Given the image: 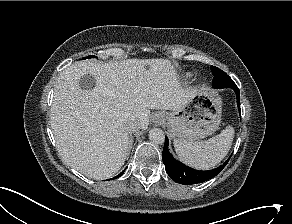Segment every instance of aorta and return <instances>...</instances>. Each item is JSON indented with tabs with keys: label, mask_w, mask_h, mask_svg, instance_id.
<instances>
[{
	"label": "aorta",
	"mask_w": 292,
	"mask_h": 224,
	"mask_svg": "<svg viewBox=\"0 0 292 224\" xmlns=\"http://www.w3.org/2000/svg\"><path fill=\"white\" fill-rule=\"evenodd\" d=\"M149 139L155 144H162L165 141L164 132L160 128H153L149 131Z\"/></svg>",
	"instance_id": "aorta-1"
}]
</instances>
